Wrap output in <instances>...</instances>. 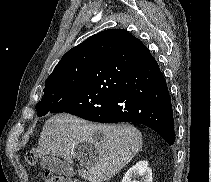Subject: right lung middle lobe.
<instances>
[{"instance_id": "dd1d6c3e", "label": "right lung middle lobe", "mask_w": 211, "mask_h": 182, "mask_svg": "<svg viewBox=\"0 0 211 182\" xmlns=\"http://www.w3.org/2000/svg\"><path fill=\"white\" fill-rule=\"evenodd\" d=\"M89 63H80L65 67L49 76L45 81L44 97L36 105L38 117L53 113L56 106L68 98L80 87Z\"/></svg>"}]
</instances>
